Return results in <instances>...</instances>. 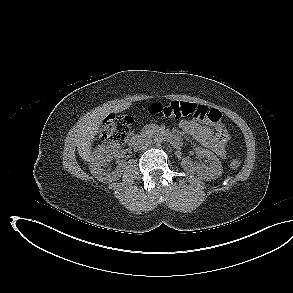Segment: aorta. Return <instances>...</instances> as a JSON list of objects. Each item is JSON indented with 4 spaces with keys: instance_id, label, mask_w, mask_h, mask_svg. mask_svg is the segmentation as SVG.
Instances as JSON below:
<instances>
[{
    "instance_id": "aorta-1",
    "label": "aorta",
    "mask_w": 293,
    "mask_h": 293,
    "mask_svg": "<svg viewBox=\"0 0 293 293\" xmlns=\"http://www.w3.org/2000/svg\"><path fill=\"white\" fill-rule=\"evenodd\" d=\"M164 141V138L162 136H157L154 138V142L158 145H160Z\"/></svg>"
}]
</instances>
